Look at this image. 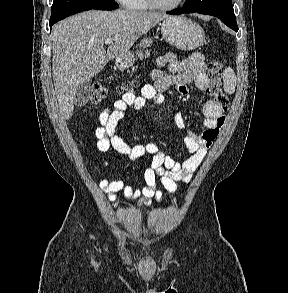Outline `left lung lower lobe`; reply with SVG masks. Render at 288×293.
<instances>
[{
    "mask_svg": "<svg viewBox=\"0 0 288 293\" xmlns=\"http://www.w3.org/2000/svg\"><path fill=\"white\" fill-rule=\"evenodd\" d=\"M195 12L200 13V14L212 15V16L218 17L228 27H230L231 29H233L235 31H238V26H237L235 16H228V15H225V14L217 12V11L199 10V9H193V8H186L183 6V8H177L173 11L167 12V14L180 15V14H184V13H195Z\"/></svg>",
    "mask_w": 288,
    "mask_h": 293,
    "instance_id": "1",
    "label": "left lung lower lobe"
}]
</instances>
